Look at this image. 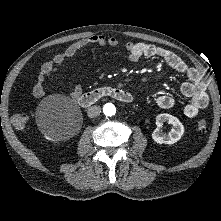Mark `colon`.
<instances>
[{"label": "colon", "instance_id": "5ec220e1", "mask_svg": "<svg viewBox=\"0 0 221 221\" xmlns=\"http://www.w3.org/2000/svg\"><path fill=\"white\" fill-rule=\"evenodd\" d=\"M14 126L18 129H23L27 123V115L25 114H15L12 118ZM197 129L200 133H206L208 131V124L205 120H200L197 123Z\"/></svg>", "mask_w": 221, "mask_h": 221}]
</instances>
